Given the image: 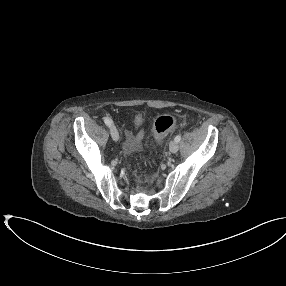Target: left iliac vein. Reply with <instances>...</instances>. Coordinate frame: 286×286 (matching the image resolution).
<instances>
[{
    "label": "left iliac vein",
    "mask_w": 286,
    "mask_h": 286,
    "mask_svg": "<svg viewBox=\"0 0 286 286\" xmlns=\"http://www.w3.org/2000/svg\"><path fill=\"white\" fill-rule=\"evenodd\" d=\"M169 149L172 153H176L179 149L178 143L175 140H172L169 144Z\"/></svg>",
    "instance_id": "1"
}]
</instances>
